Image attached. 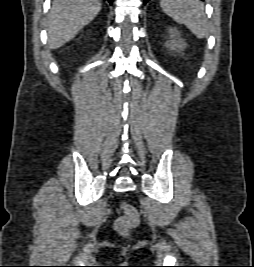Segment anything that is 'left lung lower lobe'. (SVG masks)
<instances>
[{"label": "left lung lower lobe", "instance_id": "left-lung-lower-lobe-1", "mask_svg": "<svg viewBox=\"0 0 254 267\" xmlns=\"http://www.w3.org/2000/svg\"><path fill=\"white\" fill-rule=\"evenodd\" d=\"M149 0H144V5L148 2Z\"/></svg>", "mask_w": 254, "mask_h": 267}]
</instances>
